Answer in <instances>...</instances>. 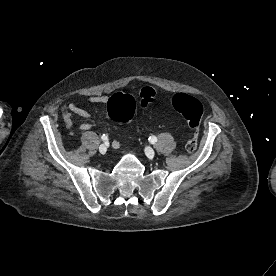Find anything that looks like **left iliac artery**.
<instances>
[{"mask_svg": "<svg viewBox=\"0 0 276 276\" xmlns=\"http://www.w3.org/2000/svg\"><path fill=\"white\" fill-rule=\"evenodd\" d=\"M149 141H150L152 144H154V143L157 142V138H156L155 136H150V137H149Z\"/></svg>", "mask_w": 276, "mask_h": 276, "instance_id": "left-iliac-artery-1", "label": "left iliac artery"}]
</instances>
